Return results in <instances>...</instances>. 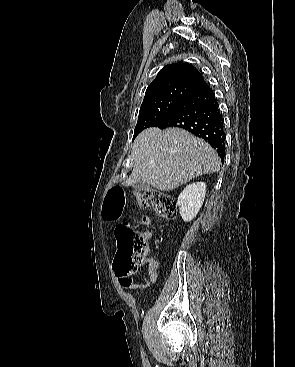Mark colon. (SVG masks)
I'll list each match as a JSON object with an SVG mask.
<instances>
[{"mask_svg": "<svg viewBox=\"0 0 295 367\" xmlns=\"http://www.w3.org/2000/svg\"><path fill=\"white\" fill-rule=\"evenodd\" d=\"M140 208H152L154 212L164 218L173 219L177 213L174 198L156 189L140 192L136 195ZM126 195L122 187L114 186L107 194L104 205V218L118 220L124 210ZM147 223V220H143ZM117 251L114 258V268L118 275L128 276L135 272L147 259L148 244L143 235L133 230L129 224L121 223L116 227Z\"/></svg>", "mask_w": 295, "mask_h": 367, "instance_id": "obj_1", "label": "colon"}]
</instances>
